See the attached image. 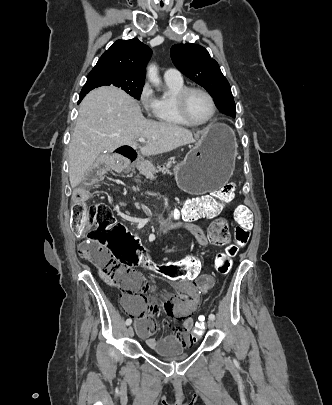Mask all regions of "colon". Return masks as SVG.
Segmentation results:
<instances>
[{
  "label": "colon",
  "mask_w": 332,
  "mask_h": 405,
  "mask_svg": "<svg viewBox=\"0 0 332 405\" xmlns=\"http://www.w3.org/2000/svg\"><path fill=\"white\" fill-rule=\"evenodd\" d=\"M234 191L233 183L226 184L208 195L189 200L181 211L199 215L218 212L232 200ZM234 220L236 223L234 242L218 253L214 261L215 270L223 275L230 271L233 258L250 238L252 216L249 210L243 205H238L234 211ZM71 226L78 235L87 236V239L79 245L80 257L103 272L122 292L125 291L120 287L121 274L113 256H122L120 260L124 267L163 273L170 282L195 281L198 275H202V266H198L197 259H187L186 262L138 259L140 244L137 237L125 224L116 221L112 210L106 204L88 203L82 194L77 195L72 206ZM209 226L204 228L201 244L203 249H220L221 243H230L233 228L225 227V220H210ZM195 321L190 336L193 338L192 344L199 346L208 320L206 316H197Z\"/></svg>",
  "instance_id": "colon-1"
}]
</instances>
